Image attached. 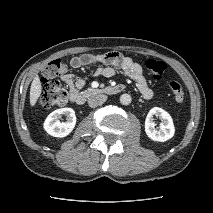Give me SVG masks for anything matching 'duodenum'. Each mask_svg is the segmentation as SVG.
<instances>
[{"label": "duodenum", "mask_w": 213, "mask_h": 213, "mask_svg": "<svg viewBox=\"0 0 213 213\" xmlns=\"http://www.w3.org/2000/svg\"><path fill=\"white\" fill-rule=\"evenodd\" d=\"M124 88L125 87L122 84L109 86L106 88H89L81 92H78L74 102L77 104H83L91 97H95L99 95H116L121 93L124 90Z\"/></svg>", "instance_id": "1"}]
</instances>
